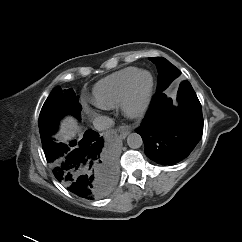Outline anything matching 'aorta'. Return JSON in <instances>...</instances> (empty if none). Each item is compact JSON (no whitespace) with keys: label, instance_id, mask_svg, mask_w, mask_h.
I'll return each instance as SVG.
<instances>
[{"label":"aorta","instance_id":"1","mask_svg":"<svg viewBox=\"0 0 242 242\" xmlns=\"http://www.w3.org/2000/svg\"><path fill=\"white\" fill-rule=\"evenodd\" d=\"M127 144L132 149L140 148L143 144L141 135L138 133H130L127 137Z\"/></svg>","mask_w":242,"mask_h":242}]
</instances>
